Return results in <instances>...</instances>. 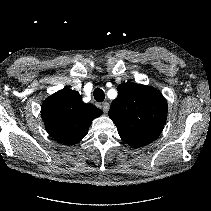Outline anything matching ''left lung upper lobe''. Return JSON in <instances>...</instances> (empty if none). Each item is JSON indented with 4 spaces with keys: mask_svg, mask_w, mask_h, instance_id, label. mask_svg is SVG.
Instances as JSON below:
<instances>
[{
    "mask_svg": "<svg viewBox=\"0 0 211 211\" xmlns=\"http://www.w3.org/2000/svg\"><path fill=\"white\" fill-rule=\"evenodd\" d=\"M118 96L108 112L121 139L134 148L153 142L167 118V102L155 88L132 82L117 87Z\"/></svg>",
    "mask_w": 211,
    "mask_h": 211,
    "instance_id": "obj_1",
    "label": "left lung upper lobe"
}]
</instances>
